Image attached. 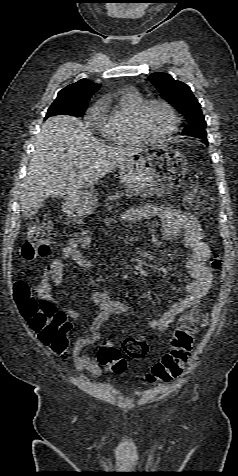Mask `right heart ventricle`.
Segmentation results:
<instances>
[{
	"instance_id": "right-heart-ventricle-1",
	"label": "right heart ventricle",
	"mask_w": 238,
	"mask_h": 476,
	"mask_svg": "<svg viewBox=\"0 0 238 476\" xmlns=\"http://www.w3.org/2000/svg\"><path fill=\"white\" fill-rule=\"evenodd\" d=\"M144 98L132 89L115 93L101 103L96 110L97 128L101 136L113 145L141 143L133 129V117Z\"/></svg>"
}]
</instances>
